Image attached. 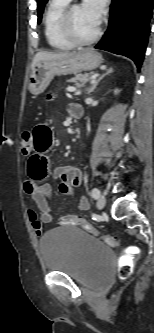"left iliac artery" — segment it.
<instances>
[{
  "label": "left iliac artery",
  "mask_w": 154,
  "mask_h": 333,
  "mask_svg": "<svg viewBox=\"0 0 154 333\" xmlns=\"http://www.w3.org/2000/svg\"><path fill=\"white\" fill-rule=\"evenodd\" d=\"M91 196H92V198L97 199V198L100 196V191H99V189H97V188H93V189L91 190Z\"/></svg>",
  "instance_id": "obj_1"
}]
</instances>
